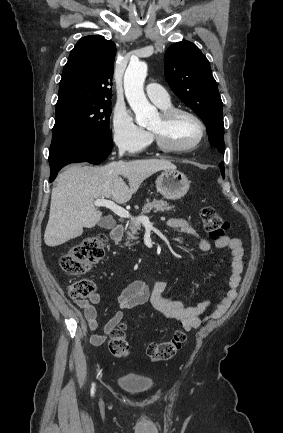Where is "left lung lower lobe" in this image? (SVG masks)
Listing matches in <instances>:
<instances>
[{"label": "left lung lower lobe", "mask_w": 283, "mask_h": 433, "mask_svg": "<svg viewBox=\"0 0 283 433\" xmlns=\"http://www.w3.org/2000/svg\"><path fill=\"white\" fill-rule=\"evenodd\" d=\"M219 167H220V170H221V173H222L223 178H225L224 163L221 162V163L219 164Z\"/></svg>", "instance_id": "1"}]
</instances>
